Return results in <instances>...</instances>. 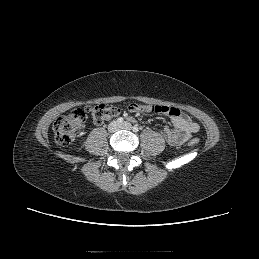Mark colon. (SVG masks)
Instances as JSON below:
<instances>
[{"label":"colon","mask_w":259,"mask_h":259,"mask_svg":"<svg viewBox=\"0 0 259 259\" xmlns=\"http://www.w3.org/2000/svg\"><path fill=\"white\" fill-rule=\"evenodd\" d=\"M120 109L107 104L88 106L85 109H75L68 114L59 116L53 125L55 140L59 145L67 146L72 144L78 135L79 130L85 125L87 114L93 122L101 124L104 121L119 115ZM199 144L198 138H192L188 145L191 148Z\"/></svg>","instance_id":"colon-1"}]
</instances>
